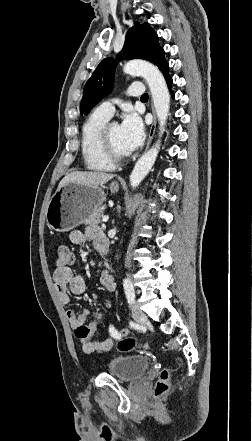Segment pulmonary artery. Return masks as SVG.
<instances>
[{
	"instance_id": "e3ab8cb5",
	"label": "pulmonary artery",
	"mask_w": 252,
	"mask_h": 441,
	"mask_svg": "<svg viewBox=\"0 0 252 441\" xmlns=\"http://www.w3.org/2000/svg\"><path fill=\"white\" fill-rule=\"evenodd\" d=\"M144 91H145L144 86L142 84L137 83V84H132L128 88L127 93L131 97H141L144 94ZM114 110H115L114 103L111 101L103 102L96 109L97 112L109 118L113 115Z\"/></svg>"
}]
</instances>
